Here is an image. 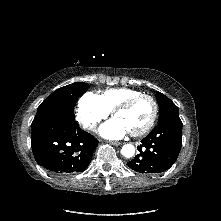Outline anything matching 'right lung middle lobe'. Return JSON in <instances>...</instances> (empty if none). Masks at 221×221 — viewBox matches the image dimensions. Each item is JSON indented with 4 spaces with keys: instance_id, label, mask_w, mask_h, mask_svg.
<instances>
[{
    "instance_id": "dd1d6c3e",
    "label": "right lung middle lobe",
    "mask_w": 221,
    "mask_h": 221,
    "mask_svg": "<svg viewBox=\"0 0 221 221\" xmlns=\"http://www.w3.org/2000/svg\"><path fill=\"white\" fill-rule=\"evenodd\" d=\"M88 88L85 82L73 83L54 91L38 107L37 114L31 124L34 127L39 122L56 113L70 112V117L75 119L73 107L81 94Z\"/></svg>"
}]
</instances>
